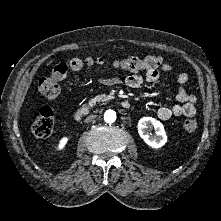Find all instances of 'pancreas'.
I'll return each mask as SVG.
<instances>
[{
  "label": "pancreas",
  "instance_id": "1",
  "mask_svg": "<svg viewBox=\"0 0 221 221\" xmlns=\"http://www.w3.org/2000/svg\"><path fill=\"white\" fill-rule=\"evenodd\" d=\"M111 99H113V96H111V95L100 94V95H97L94 98H92L89 101V105L94 106V105H96L97 102H105V101H109Z\"/></svg>",
  "mask_w": 221,
  "mask_h": 221
}]
</instances>
